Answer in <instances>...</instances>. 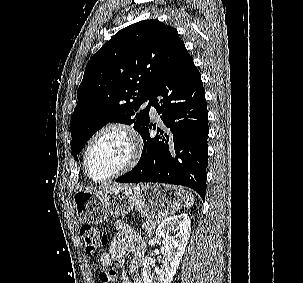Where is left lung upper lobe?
<instances>
[{
    "label": "left lung upper lobe",
    "instance_id": "5c2ea615",
    "mask_svg": "<svg viewBox=\"0 0 303 283\" xmlns=\"http://www.w3.org/2000/svg\"><path fill=\"white\" fill-rule=\"evenodd\" d=\"M185 49L177 30L158 20L132 24L89 60L70 121L75 159L90 137L108 122L134 124L140 134L149 123L150 100Z\"/></svg>",
    "mask_w": 303,
    "mask_h": 283
}]
</instances>
